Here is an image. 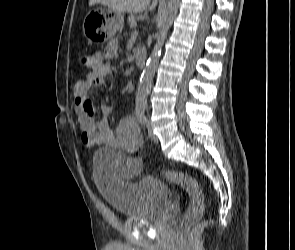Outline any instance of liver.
I'll list each match as a JSON object with an SVG mask.
<instances>
[{"instance_id":"1","label":"liver","mask_w":295,"mask_h":250,"mask_svg":"<svg viewBox=\"0 0 295 250\" xmlns=\"http://www.w3.org/2000/svg\"><path fill=\"white\" fill-rule=\"evenodd\" d=\"M152 2V3H151ZM100 3L118 12L138 13L149 8L154 10L157 0H90L89 5ZM151 3V5H150Z\"/></svg>"}]
</instances>
